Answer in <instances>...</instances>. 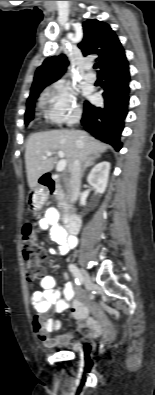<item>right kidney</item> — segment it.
<instances>
[{
	"instance_id": "obj_1",
	"label": "right kidney",
	"mask_w": 155,
	"mask_h": 395,
	"mask_svg": "<svg viewBox=\"0 0 155 395\" xmlns=\"http://www.w3.org/2000/svg\"><path fill=\"white\" fill-rule=\"evenodd\" d=\"M110 171L109 162H100L89 173L87 182L95 188L96 192L103 194L106 190Z\"/></svg>"
}]
</instances>
